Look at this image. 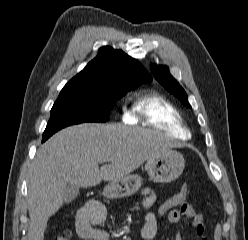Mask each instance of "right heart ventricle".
Wrapping results in <instances>:
<instances>
[{
    "mask_svg": "<svg viewBox=\"0 0 248 240\" xmlns=\"http://www.w3.org/2000/svg\"><path fill=\"white\" fill-rule=\"evenodd\" d=\"M130 121L167 132L176 139H189L191 134L179 110L166 98L145 94L136 98L131 107Z\"/></svg>",
    "mask_w": 248,
    "mask_h": 240,
    "instance_id": "right-heart-ventricle-1",
    "label": "right heart ventricle"
}]
</instances>
